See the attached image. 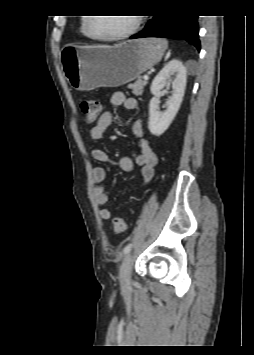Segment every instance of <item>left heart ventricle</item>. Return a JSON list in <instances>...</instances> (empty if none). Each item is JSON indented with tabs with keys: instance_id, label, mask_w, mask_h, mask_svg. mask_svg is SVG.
<instances>
[{
	"instance_id": "1",
	"label": "left heart ventricle",
	"mask_w": 254,
	"mask_h": 355,
	"mask_svg": "<svg viewBox=\"0 0 254 355\" xmlns=\"http://www.w3.org/2000/svg\"><path fill=\"white\" fill-rule=\"evenodd\" d=\"M133 18L132 15L95 18L93 30L99 36L119 35L132 26Z\"/></svg>"
}]
</instances>
